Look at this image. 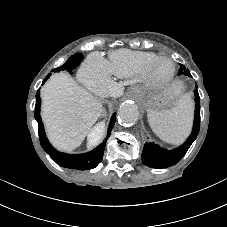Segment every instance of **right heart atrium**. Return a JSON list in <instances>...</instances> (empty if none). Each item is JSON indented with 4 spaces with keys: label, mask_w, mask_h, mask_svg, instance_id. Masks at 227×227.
Segmentation results:
<instances>
[{
    "label": "right heart atrium",
    "mask_w": 227,
    "mask_h": 227,
    "mask_svg": "<svg viewBox=\"0 0 227 227\" xmlns=\"http://www.w3.org/2000/svg\"><path fill=\"white\" fill-rule=\"evenodd\" d=\"M83 75L87 86L92 89H107L111 79L102 58L91 55L83 65Z\"/></svg>",
    "instance_id": "1"
}]
</instances>
